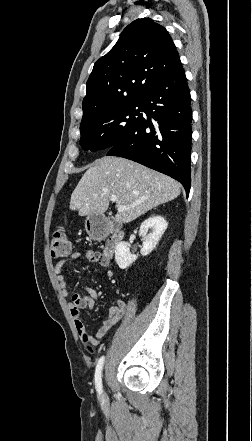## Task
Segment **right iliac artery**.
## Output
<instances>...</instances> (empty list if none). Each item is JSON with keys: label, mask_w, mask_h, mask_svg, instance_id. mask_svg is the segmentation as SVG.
Returning <instances> with one entry per match:
<instances>
[{"label": "right iliac artery", "mask_w": 252, "mask_h": 441, "mask_svg": "<svg viewBox=\"0 0 252 441\" xmlns=\"http://www.w3.org/2000/svg\"><path fill=\"white\" fill-rule=\"evenodd\" d=\"M104 361H105V357L102 356L97 363L96 366V371H95V386L97 389V392L99 394L102 393V369H103V365H104Z\"/></svg>", "instance_id": "1"}]
</instances>
